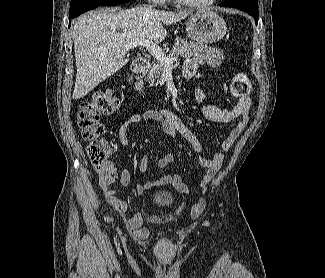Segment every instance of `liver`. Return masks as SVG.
Segmentation results:
<instances>
[{"label": "liver", "mask_w": 325, "mask_h": 278, "mask_svg": "<svg viewBox=\"0 0 325 278\" xmlns=\"http://www.w3.org/2000/svg\"><path fill=\"white\" fill-rule=\"evenodd\" d=\"M191 14L137 6L126 10L103 8L83 15L73 28L77 68L73 99L86 96L128 63V42H161L167 34L163 24L179 22Z\"/></svg>", "instance_id": "6515ba94"}]
</instances>
